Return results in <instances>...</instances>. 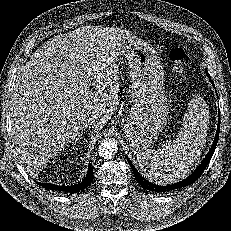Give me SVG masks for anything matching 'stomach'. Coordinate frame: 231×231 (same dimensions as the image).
Returning a JSON list of instances; mask_svg holds the SVG:
<instances>
[{"instance_id": "0dacf381", "label": "stomach", "mask_w": 231, "mask_h": 231, "mask_svg": "<svg viewBox=\"0 0 231 231\" xmlns=\"http://www.w3.org/2000/svg\"><path fill=\"white\" fill-rule=\"evenodd\" d=\"M128 62L132 107L123 131L130 150L144 151L166 126L169 106L164 94V70L158 53L147 43L126 38L118 50Z\"/></svg>"}]
</instances>
